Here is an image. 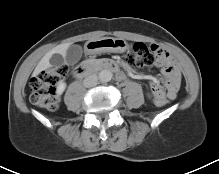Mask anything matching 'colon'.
Returning a JSON list of instances; mask_svg holds the SVG:
<instances>
[{
    "instance_id": "obj_1",
    "label": "colon",
    "mask_w": 219,
    "mask_h": 174,
    "mask_svg": "<svg viewBox=\"0 0 219 174\" xmlns=\"http://www.w3.org/2000/svg\"><path fill=\"white\" fill-rule=\"evenodd\" d=\"M127 63L133 67L150 66L155 62L154 52L145 44L136 42L132 45L126 56ZM68 75V67L65 65L48 68L36 76L29 83L30 100L41 108L56 110L58 98L56 95V84L65 79ZM154 102L158 107L167 105V99L154 97Z\"/></svg>"
}]
</instances>
